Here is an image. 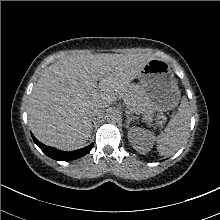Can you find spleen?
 <instances>
[{
  "instance_id": "3e777b00",
  "label": "spleen",
  "mask_w": 220,
  "mask_h": 220,
  "mask_svg": "<svg viewBox=\"0 0 220 220\" xmlns=\"http://www.w3.org/2000/svg\"><path fill=\"white\" fill-rule=\"evenodd\" d=\"M190 107L186 97L182 98L177 114L169 121L156 140L159 155L169 156L180 149L189 135Z\"/></svg>"
}]
</instances>
